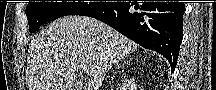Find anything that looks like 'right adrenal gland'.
<instances>
[{
  "mask_svg": "<svg viewBox=\"0 0 216 90\" xmlns=\"http://www.w3.org/2000/svg\"><path fill=\"white\" fill-rule=\"evenodd\" d=\"M117 68H121V64H117Z\"/></svg>",
  "mask_w": 216,
  "mask_h": 90,
  "instance_id": "right-adrenal-gland-1",
  "label": "right adrenal gland"
}]
</instances>
